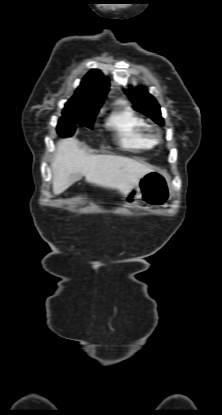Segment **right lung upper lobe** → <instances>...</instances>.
<instances>
[{
    "label": "right lung upper lobe",
    "mask_w": 222,
    "mask_h": 415,
    "mask_svg": "<svg viewBox=\"0 0 222 415\" xmlns=\"http://www.w3.org/2000/svg\"><path fill=\"white\" fill-rule=\"evenodd\" d=\"M109 90V79L98 69L89 71L81 81L73 97L64 109L84 107L98 109L101 107Z\"/></svg>",
    "instance_id": "cb5924a9"
}]
</instances>
